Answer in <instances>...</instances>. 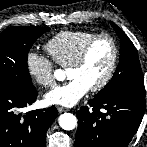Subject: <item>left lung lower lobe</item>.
<instances>
[{
	"mask_svg": "<svg viewBox=\"0 0 147 147\" xmlns=\"http://www.w3.org/2000/svg\"><path fill=\"white\" fill-rule=\"evenodd\" d=\"M76 112L78 129L74 147H127L145 111V97L119 94L89 100Z\"/></svg>",
	"mask_w": 147,
	"mask_h": 147,
	"instance_id": "0a47b994",
	"label": "left lung lower lobe"
}]
</instances>
